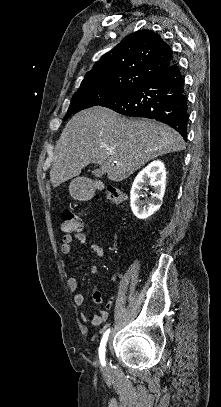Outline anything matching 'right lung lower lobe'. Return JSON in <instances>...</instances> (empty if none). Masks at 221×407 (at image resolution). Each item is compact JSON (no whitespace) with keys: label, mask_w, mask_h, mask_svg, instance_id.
<instances>
[{"label":"right lung lower lobe","mask_w":221,"mask_h":407,"mask_svg":"<svg viewBox=\"0 0 221 407\" xmlns=\"http://www.w3.org/2000/svg\"><path fill=\"white\" fill-rule=\"evenodd\" d=\"M101 106L126 116L163 122L187 139L188 100L184 78L174 61L125 95Z\"/></svg>","instance_id":"98d812e1"}]
</instances>
